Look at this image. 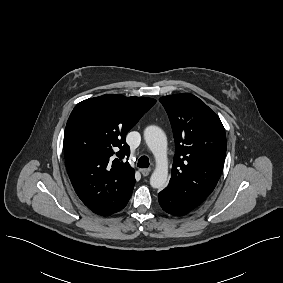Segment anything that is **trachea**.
Returning <instances> with one entry per match:
<instances>
[{
	"instance_id": "trachea-1",
	"label": "trachea",
	"mask_w": 283,
	"mask_h": 283,
	"mask_svg": "<svg viewBox=\"0 0 283 283\" xmlns=\"http://www.w3.org/2000/svg\"><path fill=\"white\" fill-rule=\"evenodd\" d=\"M137 166L140 168H147L149 166V159L147 156H142L139 158Z\"/></svg>"
}]
</instances>
